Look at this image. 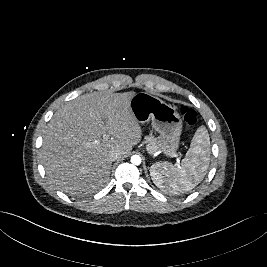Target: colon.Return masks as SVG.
Masks as SVG:
<instances>
[{"label":"colon","instance_id":"obj_1","mask_svg":"<svg viewBox=\"0 0 267 267\" xmlns=\"http://www.w3.org/2000/svg\"><path fill=\"white\" fill-rule=\"evenodd\" d=\"M181 114L188 127L193 126L197 122V114L193 109L188 107H183L181 109Z\"/></svg>","mask_w":267,"mask_h":267}]
</instances>
